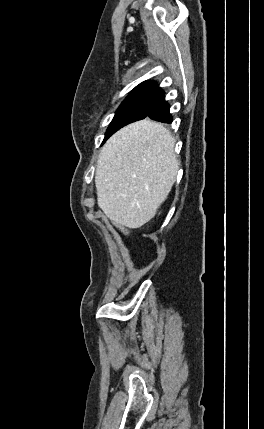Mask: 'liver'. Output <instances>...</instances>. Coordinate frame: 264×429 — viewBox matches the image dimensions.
I'll return each mask as SVG.
<instances>
[{"label": "liver", "instance_id": "6515ba94", "mask_svg": "<svg viewBox=\"0 0 264 429\" xmlns=\"http://www.w3.org/2000/svg\"><path fill=\"white\" fill-rule=\"evenodd\" d=\"M175 138L144 119L117 131L97 162V203L112 223L135 229L149 222L175 183Z\"/></svg>", "mask_w": 264, "mask_h": 429}]
</instances>
